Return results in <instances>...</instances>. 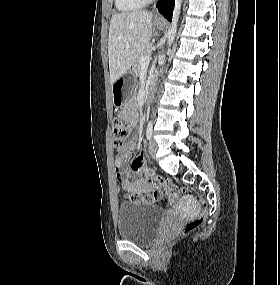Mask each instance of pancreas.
<instances>
[{"instance_id": "cf45deb5", "label": "pancreas", "mask_w": 280, "mask_h": 285, "mask_svg": "<svg viewBox=\"0 0 280 285\" xmlns=\"http://www.w3.org/2000/svg\"><path fill=\"white\" fill-rule=\"evenodd\" d=\"M151 54V50L149 47L145 48L144 51L137 57V59L134 61L133 66H132V70L135 73V75H139L140 70H141V63H140V59L143 56H147Z\"/></svg>"}]
</instances>
